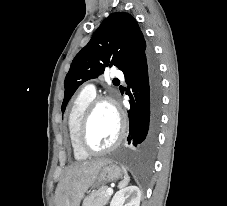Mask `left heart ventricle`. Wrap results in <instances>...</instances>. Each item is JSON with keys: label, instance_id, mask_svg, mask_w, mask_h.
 <instances>
[{"label": "left heart ventricle", "instance_id": "1", "mask_svg": "<svg viewBox=\"0 0 227 206\" xmlns=\"http://www.w3.org/2000/svg\"><path fill=\"white\" fill-rule=\"evenodd\" d=\"M117 114L109 104L99 105L91 118L87 139L94 149H103L111 145L118 135Z\"/></svg>", "mask_w": 227, "mask_h": 206}]
</instances>
